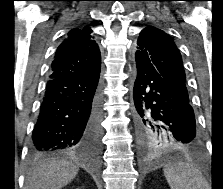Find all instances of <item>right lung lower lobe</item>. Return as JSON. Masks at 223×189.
Wrapping results in <instances>:
<instances>
[{"mask_svg": "<svg viewBox=\"0 0 223 189\" xmlns=\"http://www.w3.org/2000/svg\"><path fill=\"white\" fill-rule=\"evenodd\" d=\"M100 70L84 77L50 79L32 133V153L100 148Z\"/></svg>", "mask_w": 223, "mask_h": 189, "instance_id": "right-lung-lower-lobe-1", "label": "right lung lower lobe"}]
</instances>
